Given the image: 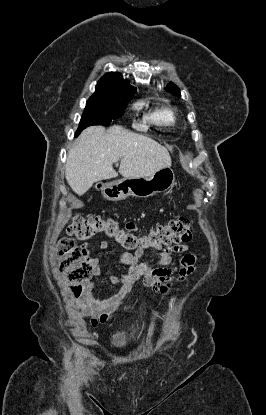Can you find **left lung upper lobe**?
<instances>
[{
	"label": "left lung upper lobe",
	"instance_id": "1",
	"mask_svg": "<svg viewBox=\"0 0 266 415\" xmlns=\"http://www.w3.org/2000/svg\"><path fill=\"white\" fill-rule=\"evenodd\" d=\"M166 90L170 91L171 93H173L174 95H176L177 97H181L180 94V90L179 88L173 84L172 82H170L167 86H166Z\"/></svg>",
	"mask_w": 266,
	"mask_h": 415
}]
</instances>
